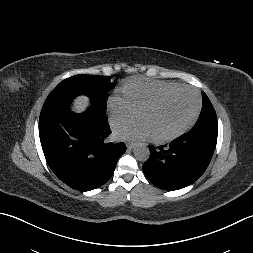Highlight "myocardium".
Here are the masks:
<instances>
[{"label": "myocardium", "mask_w": 253, "mask_h": 253, "mask_svg": "<svg viewBox=\"0 0 253 253\" xmlns=\"http://www.w3.org/2000/svg\"><path fill=\"white\" fill-rule=\"evenodd\" d=\"M179 91H188L194 94V96L196 97L197 100V105H196V109L195 112L193 114V116L191 117V119L185 124L183 125L180 129H178L177 131H175L174 133L164 136V137H151V140L154 143L157 144H163V143H168L171 142L175 139H177L178 137H180L181 135H183L184 133H186L196 122V120L199 117L200 111H201V107H202V100L201 97L199 95V93L189 87V86H185V85H178L170 90L164 91L162 93H160L159 95H157L156 97H154L153 99H151L150 101H148L147 103L143 104L138 110H137V116L139 117V115L150 108H153L154 106L158 105L159 103H161L164 99H166L167 97L173 95L174 93H177Z\"/></svg>", "instance_id": "f54148a6"}]
</instances>
